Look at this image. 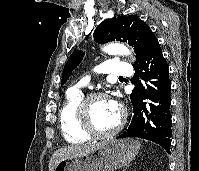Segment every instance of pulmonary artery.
I'll return each mask as SVG.
<instances>
[{"instance_id":"e3ab8cb5","label":"pulmonary artery","mask_w":199,"mask_h":171,"mask_svg":"<svg viewBox=\"0 0 199 171\" xmlns=\"http://www.w3.org/2000/svg\"><path fill=\"white\" fill-rule=\"evenodd\" d=\"M102 72L108 73L114 76H128L131 74V65L116 59L105 61L101 66ZM85 81H82L79 86H82Z\"/></svg>"}]
</instances>
